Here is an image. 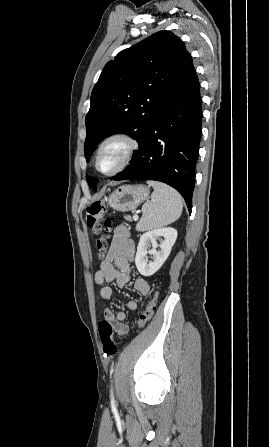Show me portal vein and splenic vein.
Returning a JSON list of instances; mask_svg holds the SVG:
<instances>
[{
    "label": "portal vein and splenic vein",
    "instance_id": "portal-vein-and-splenic-vein-1",
    "mask_svg": "<svg viewBox=\"0 0 269 447\" xmlns=\"http://www.w3.org/2000/svg\"><path fill=\"white\" fill-rule=\"evenodd\" d=\"M133 220L134 222H137V220H139V216H133Z\"/></svg>",
    "mask_w": 269,
    "mask_h": 447
}]
</instances>
